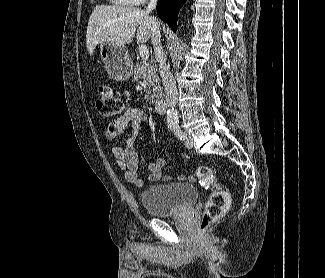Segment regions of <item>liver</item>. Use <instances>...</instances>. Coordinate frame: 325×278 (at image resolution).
Here are the masks:
<instances>
[{"label": "liver", "instance_id": "6515ba94", "mask_svg": "<svg viewBox=\"0 0 325 278\" xmlns=\"http://www.w3.org/2000/svg\"><path fill=\"white\" fill-rule=\"evenodd\" d=\"M153 17L136 7L98 5L87 26L86 46L93 54L99 43L126 45L131 43L137 30V40L147 42L151 37Z\"/></svg>", "mask_w": 325, "mask_h": 278}]
</instances>
